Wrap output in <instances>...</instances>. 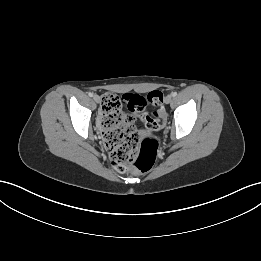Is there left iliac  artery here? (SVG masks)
Returning a JSON list of instances; mask_svg holds the SVG:
<instances>
[{
  "label": "left iliac artery",
  "mask_w": 261,
  "mask_h": 261,
  "mask_svg": "<svg viewBox=\"0 0 261 261\" xmlns=\"http://www.w3.org/2000/svg\"><path fill=\"white\" fill-rule=\"evenodd\" d=\"M172 96H173V97L177 96V92H173V93H172Z\"/></svg>",
  "instance_id": "44dca946"
}]
</instances>
